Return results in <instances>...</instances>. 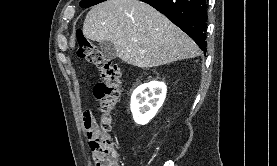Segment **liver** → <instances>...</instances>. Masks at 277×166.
I'll use <instances>...</instances> for the list:
<instances>
[{"label":"liver","mask_w":277,"mask_h":166,"mask_svg":"<svg viewBox=\"0 0 277 166\" xmlns=\"http://www.w3.org/2000/svg\"><path fill=\"white\" fill-rule=\"evenodd\" d=\"M83 34L93 41L112 42L122 61L140 68L200 55L186 33L139 0H107L93 6L85 18Z\"/></svg>","instance_id":"6515ba94"}]
</instances>
